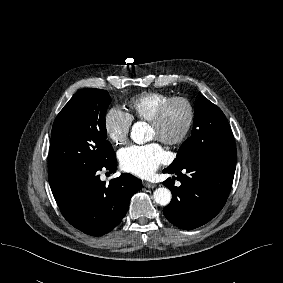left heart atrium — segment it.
<instances>
[{
  "label": "left heart atrium",
  "mask_w": 283,
  "mask_h": 283,
  "mask_svg": "<svg viewBox=\"0 0 283 283\" xmlns=\"http://www.w3.org/2000/svg\"><path fill=\"white\" fill-rule=\"evenodd\" d=\"M166 158V152L156 142L133 145L119 153L122 169L143 178L149 177L156 171Z\"/></svg>",
  "instance_id": "left-heart-atrium-1"
}]
</instances>
